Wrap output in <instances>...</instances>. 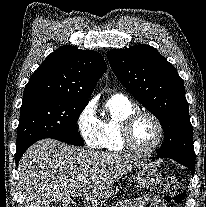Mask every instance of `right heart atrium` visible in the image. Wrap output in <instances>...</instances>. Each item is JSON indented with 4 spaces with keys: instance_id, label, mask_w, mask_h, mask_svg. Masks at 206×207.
Returning a JSON list of instances; mask_svg holds the SVG:
<instances>
[{
    "instance_id": "1",
    "label": "right heart atrium",
    "mask_w": 206,
    "mask_h": 207,
    "mask_svg": "<svg viewBox=\"0 0 206 207\" xmlns=\"http://www.w3.org/2000/svg\"><path fill=\"white\" fill-rule=\"evenodd\" d=\"M98 119L93 103L86 104L77 117V127L83 141L92 148L99 144Z\"/></svg>"
}]
</instances>
